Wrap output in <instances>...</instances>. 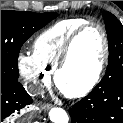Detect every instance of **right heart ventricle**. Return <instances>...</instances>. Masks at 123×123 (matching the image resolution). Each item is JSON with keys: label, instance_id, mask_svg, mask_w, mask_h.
Masks as SVG:
<instances>
[{"label": "right heart ventricle", "instance_id": "obj_1", "mask_svg": "<svg viewBox=\"0 0 123 123\" xmlns=\"http://www.w3.org/2000/svg\"><path fill=\"white\" fill-rule=\"evenodd\" d=\"M87 22L84 18L61 20L37 36L33 43V54L49 72L54 70L69 36Z\"/></svg>", "mask_w": 123, "mask_h": 123}]
</instances>
